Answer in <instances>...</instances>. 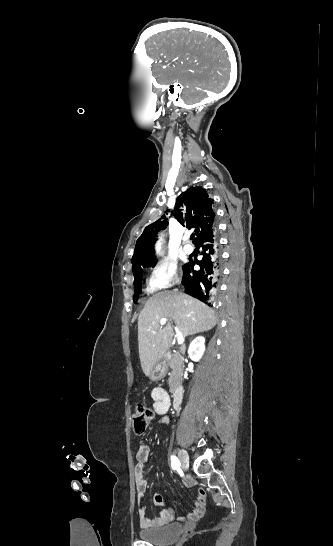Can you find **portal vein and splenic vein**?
I'll return each mask as SVG.
<instances>
[{
  "label": "portal vein and splenic vein",
  "mask_w": 333,
  "mask_h": 546,
  "mask_svg": "<svg viewBox=\"0 0 333 546\" xmlns=\"http://www.w3.org/2000/svg\"><path fill=\"white\" fill-rule=\"evenodd\" d=\"M170 319L169 318H162L160 320V325H165L167 323V321H169ZM175 332H176V338H177V342L179 345H182L184 343V337L182 335V333L179 331V329L175 326Z\"/></svg>",
  "instance_id": "18ae733b"
}]
</instances>
